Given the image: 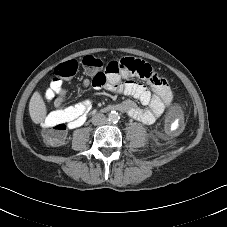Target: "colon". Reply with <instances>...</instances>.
Returning a JSON list of instances; mask_svg holds the SVG:
<instances>
[{
	"instance_id": "colon-1",
	"label": "colon",
	"mask_w": 227,
	"mask_h": 227,
	"mask_svg": "<svg viewBox=\"0 0 227 227\" xmlns=\"http://www.w3.org/2000/svg\"><path fill=\"white\" fill-rule=\"evenodd\" d=\"M82 64L93 74V81L96 85H102L106 81L104 72H107L112 78L119 77L123 72L137 74L140 77H148L152 68L148 64H144L135 60L108 61L104 63L100 58L94 55H85L82 58ZM78 62L74 59L68 60L56 66L53 70V84L55 87H61L63 77H72L76 74ZM105 70V71H104ZM61 121L51 125V130L44 132L45 140L50 144L59 143L65 138L66 124L63 119L68 114H61Z\"/></svg>"
}]
</instances>
